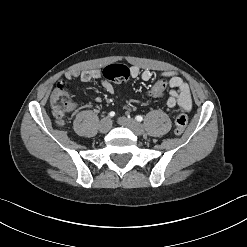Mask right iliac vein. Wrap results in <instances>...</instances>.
<instances>
[{
  "instance_id": "1",
  "label": "right iliac vein",
  "mask_w": 247,
  "mask_h": 247,
  "mask_svg": "<svg viewBox=\"0 0 247 247\" xmlns=\"http://www.w3.org/2000/svg\"><path fill=\"white\" fill-rule=\"evenodd\" d=\"M111 127H112V122L108 117L103 118L98 126L99 131L101 133H107L111 129Z\"/></svg>"
}]
</instances>
